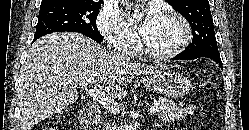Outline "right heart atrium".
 I'll list each match as a JSON object with an SVG mask.
<instances>
[{
	"mask_svg": "<svg viewBox=\"0 0 249 130\" xmlns=\"http://www.w3.org/2000/svg\"><path fill=\"white\" fill-rule=\"evenodd\" d=\"M101 35L115 48L126 53H132L137 48V36L120 16L108 9L102 8L96 20Z\"/></svg>",
	"mask_w": 249,
	"mask_h": 130,
	"instance_id": "d8ad5b80",
	"label": "right heart atrium"
}]
</instances>
